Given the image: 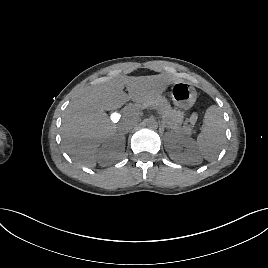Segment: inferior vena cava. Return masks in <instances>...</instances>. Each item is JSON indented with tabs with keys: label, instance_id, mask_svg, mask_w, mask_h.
Returning <instances> with one entry per match:
<instances>
[{
	"label": "inferior vena cava",
	"instance_id": "inferior-vena-cava-1",
	"mask_svg": "<svg viewBox=\"0 0 268 268\" xmlns=\"http://www.w3.org/2000/svg\"><path fill=\"white\" fill-rule=\"evenodd\" d=\"M138 118L134 116L124 118L118 125V130L122 133L130 132L137 124Z\"/></svg>",
	"mask_w": 268,
	"mask_h": 268
}]
</instances>
